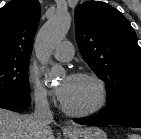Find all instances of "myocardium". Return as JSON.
<instances>
[{"mask_svg":"<svg viewBox=\"0 0 141 139\" xmlns=\"http://www.w3.org/2000/svg\"><path fill=\"white\" fill-rule=\"evenodd\" d=\"M71 77L87 78V79L92 80L98 87L99 98H98V101L93 106L87 109H82V110L71 109L68 106H66L62 101L61 102L62 110L66 114L70 116H76V117L90 116V115H94L98 113L99 111H101L105 107L107 100H108V89H107V86L104 80L101 77H99L96 73L91 72V71H78V72L73 73Z\"/></svg>","mask_w":141,"mask_h":139,"instance_id":"1","label":"myocardium"}]
</instances>
